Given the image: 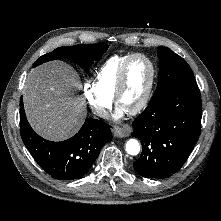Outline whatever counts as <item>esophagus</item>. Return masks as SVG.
Returning <instances> with one entry per match:
<instances>
[{
  "mask_svg": "<svg viewBox=\"0 0 221 221\" xmlns=\"http://www.w3.org/2000/svg\"><path fill=\"white\" fill-rule=\"evenodd\" d=\"M112 132H113L114 136L120 137V138L127 137L129 135L127 130L121 129L119 127L112 128Z\"/></svg>",
  "mask_w": 221,
  "mask_h": 221,
  "instance_id": "obj_1",
  "label": "esophagus"
}]
</instances>
